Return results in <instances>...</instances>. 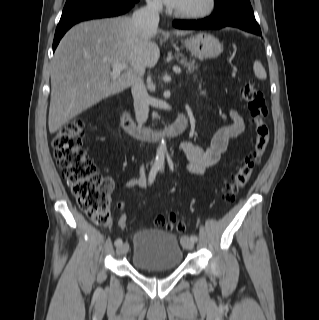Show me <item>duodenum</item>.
Returning <instances> with one entry per match:
<instances>
[{"instance_id": "duodenum-1", "label": "duodenum", "mask_w": 319, "mask_h": 320, "mask_svg": "<svg viewBox=\"0 0 319 320\" xmlns=\"http://www.w3.org/2000/svg\"><path fill=\"white\" fill-rule=\"evenodd\" d=\"M122 127L140 140L157 141L162 138H172L182 133L187 126V115H178L174 122L160 129H150L133 125L126 117L121 120Z\"/></svg>"}]
</instances>
